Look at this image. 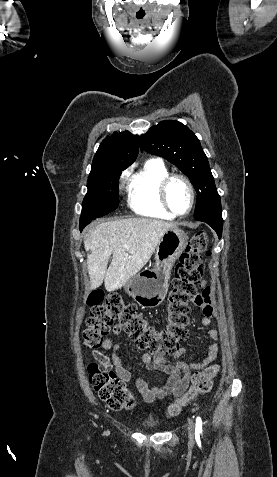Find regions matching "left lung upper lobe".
<instances>
[{
  "instance_id": "left-lung-upper-lobe-1",
  "label": "left lung upper lobe",
  "mask_w": 277,
  "mask_h": 477,
  "mask_svg": "<svg viewBox=\"0 0 277 477\" xmlns=\"http://www.w3.org/2000/svg\"><path fill=\"white\" fill-rule=\"evenodd\" d=\"M141 149L161 156L187 175L197 192L194 217L221 211L220 196L199 139L178 121H162L141 135Z\"/></svg>"
}]
</instances>
